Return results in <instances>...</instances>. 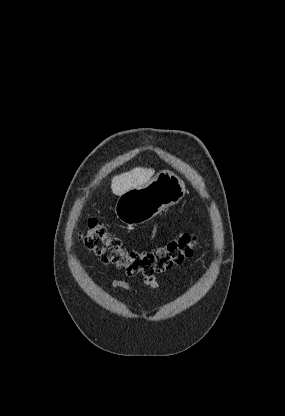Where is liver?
<instances>
[{
	"label": "liver",
	"mask_w": 285,
	"mask_h": 416,
	"mask_svg": "<svg viewBox=\"0 0 285 416\" xmlns=\"http://www.w3.org/2000/svg\"><path fill=\"white\" fill-rule=\"evenodd\" d=\"M154 174L155 170L152 168H133L130 172L114 176L111 180V190L115 196H122L129 190L148 184Z\"/></svg>",
	"instance_id": "obj_1"
}]
</instances>
